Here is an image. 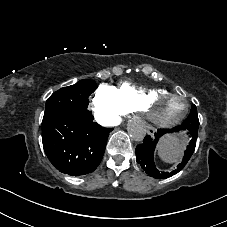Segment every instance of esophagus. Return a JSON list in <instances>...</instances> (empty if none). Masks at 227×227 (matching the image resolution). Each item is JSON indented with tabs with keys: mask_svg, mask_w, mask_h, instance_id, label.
Returning a JSON list of instances; mask_svg holds the SVG:
<instances>
[{
	"mask_svg": "<svg viewBox=\"0 0 227 227\" xmlns=\"http://www.w3.org/2000/svg\"><path fill=\"white\" fill-rule=\"evenodd\" d=\"M147 134H148V136H149V137H151V138H152V137H154V136H155V134H156V133H155V131H154V130H152V129H151V130H149V131H148V133H147Z\"/></svg>",
	"mask_w": 227,
	"mask_h": 227,
	"instance_id": "34e87169",
	"label": "esophagus"
}]
</instances>
